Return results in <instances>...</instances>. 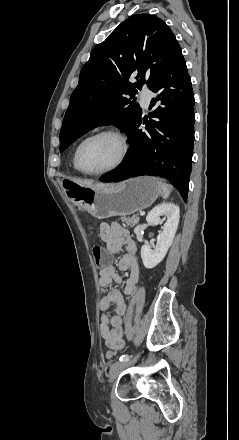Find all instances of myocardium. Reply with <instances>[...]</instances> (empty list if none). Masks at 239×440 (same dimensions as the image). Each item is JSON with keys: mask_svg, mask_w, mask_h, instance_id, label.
<instances>
[{"mask_svg": "<svg viewBox=\"0 0 239 440\" xmlns=\"http://www.w3.org/2000/svg\"><path fill=\"white\" fill-rule=\"evenodd\" d=\"M100 136H112V137L116 138L120 144V155H119L116 163L113 166H111L110 168H107L105 170L98 171V172L85 171L81 167V163H80L81 150H82L83 146L88 141H90L94 138L100 137ZM128 151H129V143H128L126 136L122 132H120L117 129H113V128H102V129H99L97 131L90 133L84 139H82L81 142L78 144V146L76 148V152H75V165H76L77 170L81 174L86 175V176L98 177V176L107 175V174L115 172L123 165V163L125 162V160L127 158Z\"/></svg>", "mask_w": 239, "mask_h": 440, "instance_id": "f54148a6", "label": "myocardium"}]
</instances>
